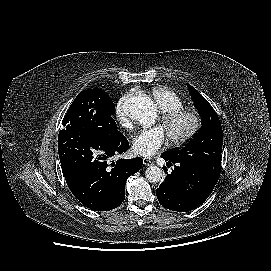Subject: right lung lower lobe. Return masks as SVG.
I'll return each mask as SVG.
<instances>
[{
    "instance_id": "obj_1",
    "label": "right lung lower lobe",
    "mask_w": 271,
    "mask_h": 271,
    "mask_svg": "<svg viewBox=\"0 0 271 271\" xmlns=\"http://www.w3.org/2000/svg\"><path fill=\"white\" fill-rule=\"evenodd\" d=\"M128 140L118 131L111 137L90 134L66 126L58 135V154L62 172L72 194L87 208L108 211L125 199L127 178L143 164L140 157L116 163L108 158L124 153Z\"/></svg>"
}]
</instances>
